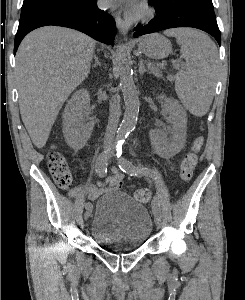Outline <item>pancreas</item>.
<instances>
[{
	"label": "pancreas",
	"mask_w": 245,
	"mask_h": 300,
	"mask_svg": "<svg viewBox=\"0 0 245 300\" xmlns=\"http://www.w3.org/2000/svg\"><path fill=\"white\" fill-rule=\"evenodd\" d=\"M151 70H152V72H153L156 76L162 77V74H161L160 70L157 69L155 66H151ZM170 79H171V78H170Z\"/></svg>",
	"instance_id": "obj_1"
}]
</instances>
